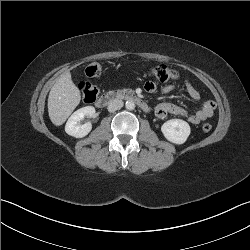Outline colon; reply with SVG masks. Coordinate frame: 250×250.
I'll use <instances>...</instances> for the list:
<instances>
[{
  "instance_id": "1",
  "label": "colon",
  "mask_w": 250,
  "mask_h": 250,
  "mask_svg": "<svg viewBox=\"0 0 250 250\" xmlns=\"http://www.w3.org/2000/svg\"><path fill=\"white\" fill-rule=\"evenodd\" d=\"M85 72L88 77H99L103 73V67L100 63L93 62L87 66ZM148 74L150 77L160 82L180 79V74L178 71L162 64L150 68ZM79 87L82 92L84 102L93 103L97 99L100 91L96 85L88 82H81ZM202 129L205 132H209L212 129V125L210 123H205L203 124Z\"/></svg>"
}]
</instances>
